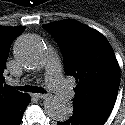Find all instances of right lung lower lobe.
<instances>
[{
    "label": "right lung lower lobe",
    "instance_id": "98d812e1",
    "mask_svg": "<svg viewBox=\"0 0 125 125\" xmlns=\"http://www.w3.org/2000/svg\"><path fill=\"white\" fill-rule=\"evenodd\" d=\"M28 94L20 96L0 107V125H20L22 116L30 102Z\"/></svg>",
    "mask_w": 125,
    "mask_h": 125
}]
</instances>
